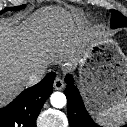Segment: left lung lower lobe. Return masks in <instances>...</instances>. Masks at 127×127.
<instances>
[{"instance_id":"1","label":"left lung lower lobe","mask_w":127,"mask_h":127,"mask_svg":"<svg viewBox=\"0 0 127 127\" xmlns=\"http://www.w3.org/2000/svg\"><path fill=\"white\" fill-rule=\"evenodd\" d=\"M67 97L68 118L71 127H100L90 117L85 109L84 103L77 87L74 85L72 75L68 74L65 78ZM127 127V124L122 126Z\"/></svg>"}]
</instances>
